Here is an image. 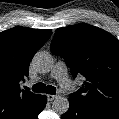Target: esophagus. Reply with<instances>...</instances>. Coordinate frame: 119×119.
I'll return each mask as SVG.
<instances>
[{
	"instance_id": "esophagus-1",
	"label": "esophagus",
	"mask_w": 119,
	"mask_h": 119,
	"mask_svg": "<svg viewBox=\"0 0 119 119\" xmlns=\"http://www.w3.org/2000/svg\"><path fill=\"white\" fill-rule=\"evenodd\" d=\"M55 98H57V95H51V94H48V95H47L48 101H52V100H54Z\"/></svg>"
}]
</instances>
